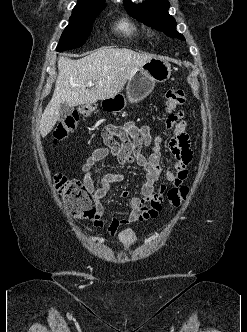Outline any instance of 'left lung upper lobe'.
Returning <instances> with one entry per match:
<instances>
[{
  "mask_svg": "<svg viewBox=\"0 0 247 332\" xmlns=\"http://www.w3.org/2000/svg\"><path fill=\"white\" fill-rule=\"evenodd\" d=\"M124 5L132 17L145 25L163 31L169 37L185 40L184 36L176 31V21L168 13V0H149L142 4L127 0Z\"/></svg>",
  "mask_w": 247,
  "mask_h": 332,
  "instance_id": "obj_1",
  "label": "left lung upper lobe"
}]
</instances>
